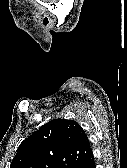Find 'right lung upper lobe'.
I'll list each match as a JSON object with an SVG mask.
<instances>
[{"label": "right lung upper lobe", "instance_id": "1", "mask_svg": "<svg viewBox=\"0 0 127 168\" xmlns=\"http://www.w3.org/2000/svg\"><path fill=\"white\" fill-rule=\"evenodd\" d=\"M91 157L82 127L76 121L58 118L20 144L10 168H74Z\"/></svg>", "mask_w": 127, "mask_h": 168}]
</instances>
